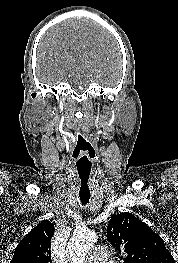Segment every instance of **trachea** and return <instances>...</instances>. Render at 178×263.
I'll return each mask as SVG.
<instances>
[{
    "mask_svg": "<svg viewBox=\"0 0 178 263\" xmlns=\"http://www.w3.org/2000/svg\"><path fill=\"white\" fill-rule=\"evenodd\" d=\"M78 171V193L83 205L89 202L91 193L89 188V177L91 168L87 166H77Z\"/></svg>",
    "mask_w": 178,
    "mask_h": 263,
    "instance_id": "trachea-1",
    "label": "trachea"
}]
</instances>
